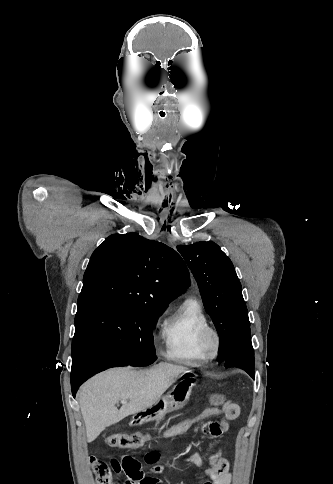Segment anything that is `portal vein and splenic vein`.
Wrapping results in <instances>:
<instances>
[{"label":"portal vein and splenic vein","instance_id":"1","mask_svg":"<svg viewBox=\"0 0 333 484\" xmlns=\"http://www.w3.org/2000/svg\"><path fill=\"white\" fill-rule=\"evenodd\" d=\"M120 403L125 404V403H127V401L126 400H121Z\"/></svg>","mask_w":333,"mask_h":484}]
</instances>
